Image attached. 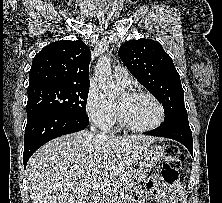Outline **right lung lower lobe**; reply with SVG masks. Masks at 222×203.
Segmentation results:
<instances>
[{"label": "right lung lower lobe", "instance_id": "1", "mask_svg": "<svg viewBox=\"0 0 222 203\" xmlns=\"http://www.w3.org/2000/svg\"><path fill=\"white\" fill-rule=\"evenodd\" d=\"M88 124L87 115L53 111L40 112L27 117L23 153L24 167L39 147L56 137L83 130Z\"/></svg>", "mask_w": 222, "mask_h": 203}]
</instances>
